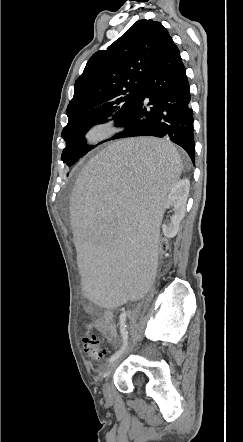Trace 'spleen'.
<instances>
[{
    "label": "spleen",
    "mask_w": 243,
    "mask_h": 442,
    "mask_svg": "<svg viewBox=\"0 0 243 442\" xmlns=\"http://www.w3.org/2000/svg\"><path fill=\"white\" fill-rule=\"evenodd\" d=\"M72 193L83 296L96 307L142 302L156 273L157 228L182 170L169 141L127 139L84 163Z\"/></svg>",
    "instance_id": "1"
}]
</instances>
